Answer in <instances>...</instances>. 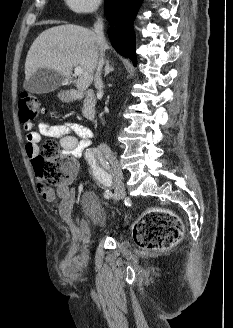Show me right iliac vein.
I'll return each instance as SVG.
<instances>
[{
	"label": "right iliac vein",
	"instance_id": "63e3f726",
	"mask_svg": "<svg viewBox=\"0 0 233 328\" xmlns=\"http://www.w3.org/2000/svg\"><path fill=\"white\" fill-rule=\"evenodd\" d=\"M101 152L104 155V157L107 159V161L110 163L112 171H113V178H114V188H115V194L113 199L115 201L121 200L125 197V187L123 183V174L120 167V164L113 154V152L108 147L101 148Z\"/></svg>",
	"mask_w": 233,
	"mask_h": 328
}]
</instances>
